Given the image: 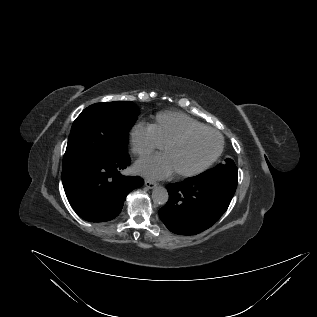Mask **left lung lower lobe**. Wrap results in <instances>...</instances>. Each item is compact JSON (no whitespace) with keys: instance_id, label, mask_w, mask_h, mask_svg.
<instances>
[{"instance_id":"0a47b994","label":"left lung lower lobe","mask_w":317,"mask_h":317,"mask_svg":"<svg viewBox=\"0 0 317 317\" xmlns=\"http://www.w3.org/2000/svg\"><path fill=\"white\" fill-rule=\"evenodd\" d=\"M236 187V180L203 174L169 184V200L159 210L160 219L176 234H198L215 224L223 215Z\"/></svg>"}]
</instances>
